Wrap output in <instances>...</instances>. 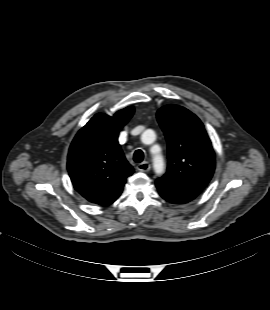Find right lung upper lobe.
Masks as SVG:
<instances>
[{
  "label": "right lung upper lobe",
  "mask_w": 270,
  "mask_h": 310,
  "mask_svg": "<svg viewBox=\"0 0 270 310\" xmlns=\"http://www.w3.org/2000/svg\"><path fill=\"white\" fill-rule=\"evenodd\" d=\"M134 108L108 116L96 114L71 143L67 169L74 188L89 202L103 205L119 196L133 172L118 143L120 129Z\"/></svg>",
  "instance_id": "cb5924a9"
}]
</instances>
